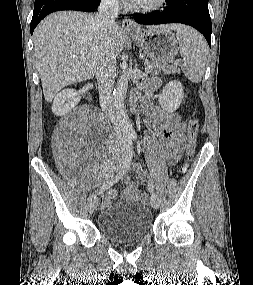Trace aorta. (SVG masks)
Here are the masks:
<instances>
[{"instance_id":"aorta-1","label":"aorta","mask_w":253,"mask_h":285,"mask_svg":"<svg viewBox=\"0 0 253 285\" xmlns=\"http://www.w3.org/2000/svg\"><path fill=\"white\" fill-rule=\"evenodd\" d=\"M128 89V76L124 72L118 79L113 92L115 116L119 128L123 134H132L134 132L130 120L124 110V101Z\"/></svg>"}]
</instances>
